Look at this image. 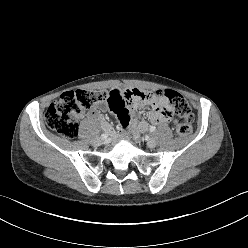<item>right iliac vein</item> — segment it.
Listing matches in <instances>:
<instances>
[{"label": "right iliac vein", "instance_id": "1", "mask_svg": "<svg viewBox=\"0 0 248 248\" xmlns=\"http://www.w3.org/2000/svg\"><path fill=\"white\" fill-rule=\"evenodd\" d=\"M103 143V140L100 138H97L93 141V144L96 146H100Z\"/></svg>", "mask_w": 248, "mask_h": 248}]
</instances>
